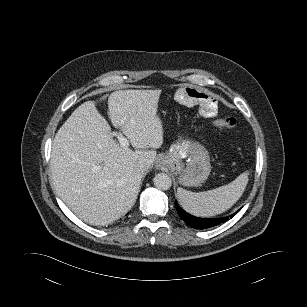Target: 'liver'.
Here are the masks:
<instances>
[{
  "mask_svg": "<svg viewBox=\"0 0 307 307\" xmlns=\"http://www.w3.org/2000/svg\"><path fill=\"white\" fill-rule=\"evenodd\" d=\"M161 90H119L108 97V114L136 149L122 147L111 127L87 101L74 110L55 135L51 177L58 196L80 219L93 225L110 224L135 204L143 174L163 144L157 115Z\"/></svg>",
  "mask_w": 307,
  "mask_h": 307,
  "instance_id": "obj_1",
  "label": "liver"
}]
</instances>
